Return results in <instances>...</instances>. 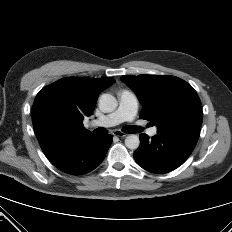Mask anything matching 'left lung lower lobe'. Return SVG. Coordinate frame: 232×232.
<instances>
[{
    "label": "left lung lower lobe",
    "mask_w": 232,
    "mask_h": 232,
    "mask_svg": "<svg viewBox=\"0 0 232 232\" xmlns=\"http://www.w3.org/2000/svg\"><path fill=\"white\" fill-rule=\"evenodd\" d=\"M140 146L134 152V159L147 171L163 174L182 165L194 150L199 138L198 132L170 131L157 132L149 139L140 136Z\"/></svg>",
    "instance_id": "obj_1"
}]
</instances>
